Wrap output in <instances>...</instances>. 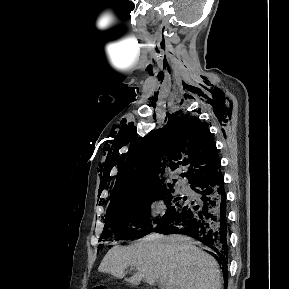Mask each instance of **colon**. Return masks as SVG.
Instances as JSON below:
<instances>
[{"mask_svg": "<svg viewBox=\"0 0 289 289\" xmlns=\"http://www.w3.org/2000/svg\"><path fill=\"white\" fill-rule=\"evenodd\" d=\"M93 289H105L103 286H95Z\"/></svg>", "mask_w": 289, "mask_h": 289, "instance_id": "1", "label": "colon"}]
</instances>
